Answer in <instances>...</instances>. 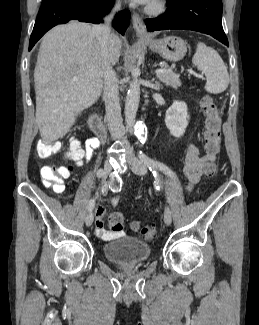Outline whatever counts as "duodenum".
<instances>
[{
	"label": "duodenum",
	"instance_id": "410a0bca",
	"mask_svg": "<svg viewBox=\"0 0 259 325\" xmlns=\"http://www.w3.org/2000/svg\"><path fill=\"white\" fill-rule=\"evenodd\" d=\"M88 123L95 136L100 140H104L106 137V127L101 117L96 113H92L88 118Z\"/></svg>",
	"mask_w": 259,
	"mask_h": 325
}]
</instances>
